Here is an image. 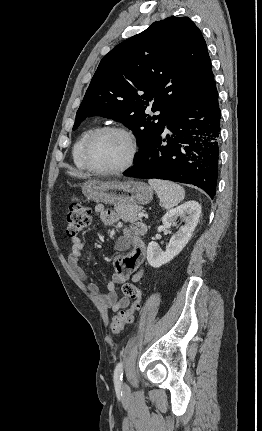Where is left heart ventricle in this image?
Wrapping results in <instances>:
<instances>
[{"instance_id": "1", "label": "left heart ventricle", "mask_w": 262, "mask_h": 431, "mask_svg": "<svg viewBox=\"0 0 262 431\" xmlns=\"http://www.w3.org/2000/svg\"><path fill=\"white\" fill-rule=\"evenodd\" d=\"M130 153L128 139L116 132L98 137L91 148L92 162L102 168H116L125 163Z\"/></svg>"}]
</instances>
